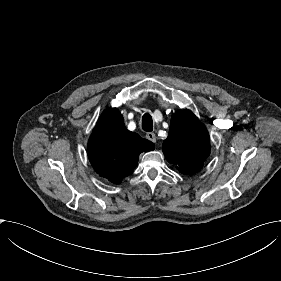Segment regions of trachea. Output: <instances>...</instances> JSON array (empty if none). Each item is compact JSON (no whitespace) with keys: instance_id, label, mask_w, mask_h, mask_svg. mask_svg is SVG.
I'll return each mask as SVG.
<instances>
[{"instance_id":"trachea-1","label":"trachea","mask_w":281,"mask_h":281,"mask_svg":"<svg viewBox=\"0 0 281 281\" xmlns=\"http://www.w3.org/2000/svg\"><path fill=\"white\" fill-rule=\"evenodd\" d=\"M142 129L147 132H151L153 130V120L148 113L144 114L142 117Z\"/></svg>"}]
</instances>
